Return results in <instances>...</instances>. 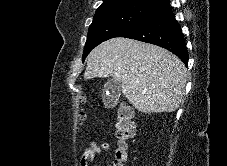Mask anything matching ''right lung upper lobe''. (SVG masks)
<instances>
[{
    "instance_id": "cb5924a9",
    "label": "right lung upper lobe",
    "mask_w": 227,
    "mask_h": 166,
    "mask_svg": "<svg viewBox=\"0 0 227 166\" xmlns=\"http://www.w3.org/2000/svg\"><path fill=\"white\" fill-rule=\"evenodd\" d=\"M167 1L169 0H104L103 4L98 9L106 8L114 5L126 4V3L152 5V6L160 7Z\"/></svg>"
}]
</instances>
